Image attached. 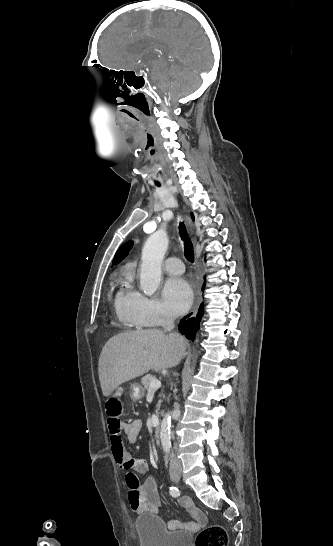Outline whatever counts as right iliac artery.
I'll return each mask as SVG.
<instances>
[{
  "label": "right iliac artery",
  "mask_w": 333,
  "mask_h": 546,
  "mask_svg": "<svg viewBox=\"0 0 333 546\" xmlns=\"http://www.w3.org/2000/svg\"><path fill=\"white\" fill-rule=\"evenodd\" d=\"M170 494L173 497H177L180 495V491L176 487H170Z\"/></svg>",
  "instance_id": "obj_1"
}]
</instances>
